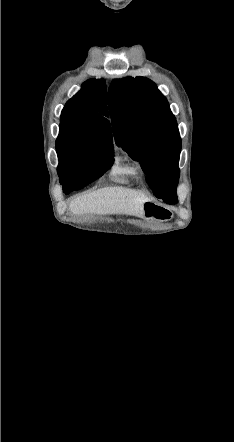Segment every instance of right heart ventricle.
Returning a JSON list of instances; mask_svg holds the SVG:
<instances>
[{
    "label": "right heart ventricle",
    "mask_w": 234,
    "mask_h": 442,
    "mask_svg": "<svg viewBox=\"0 0 234 442\" xmlns=\"http://www.w3.org/2000/svg\"><path fill=\"white\" fill-rule=\"evenodd\" d=\"M114 159V164L110 170V174L112 176L119 179H130L137 177V167L126 154L117 153Z\"/></svg>",
    "instance_id": "e07e8e85"
}]
</instances>
